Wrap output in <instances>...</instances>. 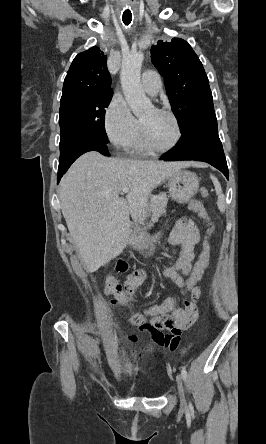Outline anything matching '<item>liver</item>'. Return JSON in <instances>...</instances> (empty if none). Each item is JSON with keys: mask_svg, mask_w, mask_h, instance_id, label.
<instances>
[{"mask_svg": "<svg viewBox=\"0 0 266 444\" xmlns=\"http://www.w3.org/2000/svg\"><path fill=\"white\" fill-rule=\"evenodd\" d=\"M198 162L140 161L107 158L91 151L79 157L62 178V214L88 272L120 255L131 243V211L143 221L152 190L173 173ZM128 187L126 199L119 197Z\"/></svg>", "mask_w": 266, "mask_h": 444, "instance_id": "1", "label": "liver"}]
</instances>
